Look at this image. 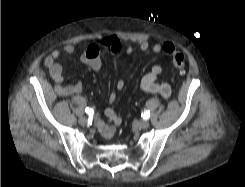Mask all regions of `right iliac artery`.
<instances>
[{
  "label": "right iliac artery",
  "mask_w": 245,
  "mask_h": 187,
  "mask_svg": "<svg viewBox=\"0 0 245 187\" xmlns=\"http://www.w3.org/2000/svg\"><path fill=\"white\" fill-rule=\"evenodd\" d=\"M85 112L89 115V116H92L94 114V110L92 108H86L85 109Z\"/></svg>",
  "instance_id": "obj_1"
}]
</instances>
